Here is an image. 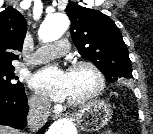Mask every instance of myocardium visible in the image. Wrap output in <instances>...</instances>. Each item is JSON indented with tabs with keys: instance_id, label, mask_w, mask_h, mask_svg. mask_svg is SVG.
Listing matches in <instances>:
<instances>
[{
	"instance_id": "myocardium-1",
	"label": "myocardium",
	"mask_w": 153,
	"mask_h": 134,
	"mask_svg": "<svg viewBox=\"0 0 153 134\" xmlns=\"http://www.w3.org/2000/svg\"><path fill=\"white\" fill-rule=\"evenodd\" d=\"M78 68L89 69L95 76L96 85H95L94 89L86 96H84L78 100H68L67 101V103L70 106H74V107L84 105L87 102L94 99L95 97H97L103 91V89L105 88V85H106V79H105L103 72L94 62H92L90 60L75 61L70 65L69 71H73Z\"/></svg>"
}]
</instances>
